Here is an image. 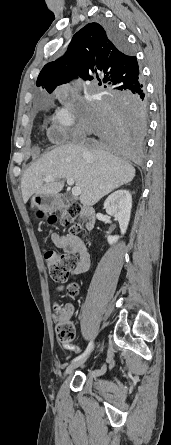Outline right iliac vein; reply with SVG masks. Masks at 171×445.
Segmentation results:
<instances>
[{
	"label": "right iliac vein",
	"mask_w": 171,
	"mask_h": 445,
	"mask_svg": "<svg viewBox=\"0 0 171 445\" xmlns=\"http://www.w3.org/2000/svg\"><path fill=\"white\" fill-rule=\"evenodd\" d=\"M89 355H90V352H89L85 357H83V358H81V359H79V360H76V361H74L73 363H71V364L66 368L63 378H64L66 375L71 374V373H72L75 369H77L78 367H80V366L87 360V358L89 357Z\"/></svg>",
	"instance_id": "obj_1"
}]
</instances>
